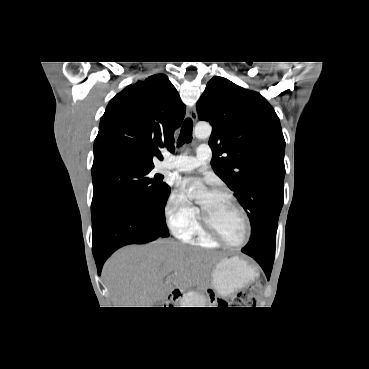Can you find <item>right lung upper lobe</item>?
Returning a JSON list of instances; mask_svg holds the SVG:
<instances>
[{
	"instance_id": "cb5924a9",
	"label": "right lung upper lobe",
	"mask_w": 369,
	"mask_h": 369,
	"mask_svg": "<svg viewBox=\"0 0 369 369\" xmlns=\"http://www.w3.org/2000/svg\"><path fill=\"white\" fill-rule=\"evenodd\" d=\"M186 107L167 76L156 74L127 86L109 102L94 141L93 165L118 162L154 167L159 148L174 151V131Z\"/></svg>"
}]
</instances>
